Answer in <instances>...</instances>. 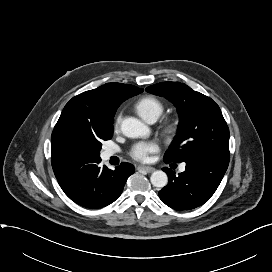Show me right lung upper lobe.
I'll use <instances>...</instances> for the list:
<instances>
[{"instance_id": "cb5924a9", "label": "right lung upper lobe", "mask_w": 272, "mask_h": 272, "mask_svg": "<svg viewBox=\"0 0 272 272\" xmlns=\"http://www.w3.org/2000/svg\"><path fill=\"white\" fill-rule=\"evenodd\" d=\"M142 91L129 84L107 83L73 97L65 105L51 136V163L57 179L87 163L68 149L66 134L85 127L113 125L120 104Z\"/></svg>"}]
</instances>
